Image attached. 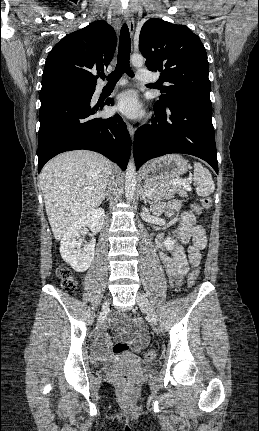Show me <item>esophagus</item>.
Returning <instances> with one entry per match:
<instances>
[{"mask_svg": "<svg viewBox=\"0 0 259 431\" xmlns=\"http://www.w3.org/2000/svg\"><path fill=\"white\" fill-rule=\"evenodd\" d=\"M126 21H127L130 35L133 36L134 29H135V23H134V18L132 16V13L130 11L127 12ZM126 124H127L128 132H129L131 138H133L134 134H135V129L130 123L127 122Z\"/></svg>", "mask_w": 259, "mask_h": 431, "instance_id": "obj_1", "label": "esophagus"}]
</instances>
